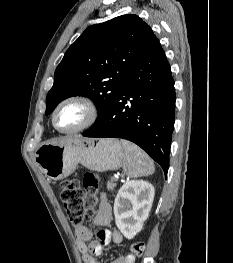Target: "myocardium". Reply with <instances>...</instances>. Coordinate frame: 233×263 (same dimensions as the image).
<instances>
[{"label": "myocardium", "instance_id": "1", "mask_svg": "<svg viewBox=\"0 0 233 263\" xmlns=\"http://www.w3.org/2000/svg\"><path fill=\"white\" fill-rule=\"evenodd\" d=\"M69 103H78L81 104L87 111V118L86 120L77 128L72 129V130H63L60 129L57 125L56 122V117H57V113L58 111L66 104ZM99 115V110L98 107L96 105V103L89 97L87 96H83V95H73V96H69L65 99H63L62 101H60L57 106L55 107L53 114H52V123L53 126L55 127V129L57 131H59L60 133L63 134H75L78 132H81L87 128H89L90 126H92Z\"/></svg>", "mask_w": 233, "mask_h": 263}]
</instances>
